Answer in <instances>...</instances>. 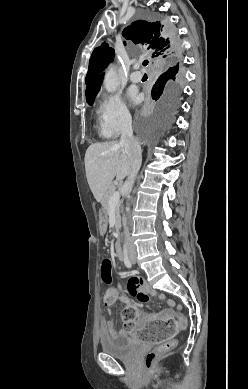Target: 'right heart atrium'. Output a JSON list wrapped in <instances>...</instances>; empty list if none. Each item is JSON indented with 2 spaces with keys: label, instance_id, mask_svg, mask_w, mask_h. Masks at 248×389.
<instances>
[{
  "label": "right heart atrium",
  "instance_id": "right-heart-atrium-1",
  "mask_svg": "<svg viewBox=\"0 0 248 389\" xmlns=\"http://www.w3.org/2000/svg\"><path fill=\"white\" fill-rule=\"evenodd\" d=\"M103 128L110 137L117 136L131 125V114L118 95H107L99 105Z\"/></svg>",
  "mask_w": 248,
  "mask_h": 389
}]
</instances>
